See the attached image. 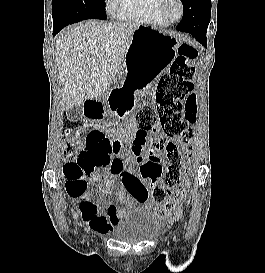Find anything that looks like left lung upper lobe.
Here are the masks:
<instances>
[{
  "label": "left lung upper lobe",
  "instance_id": "1",
  "mask_svg": "<svg viewBox=\"0 0 265 273\" xmlns=\"http://www.w3.org/2000/svg\"><path fill=\"white\" fill-rule=\"evenodd\" d=\"M183 4L184 11L187 10L189 7L192 6V0H181ZM210 16H211V7L208 8L205 12V21L207 23V26L210 22Z\"/></svg>",
  "mask_w": 265,
  "mask_h": 273
}]
</instances>
